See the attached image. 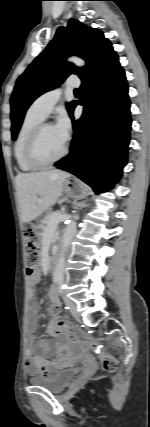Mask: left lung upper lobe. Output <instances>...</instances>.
Listing matches in <instances>:
<instances>
[{
	"mask_svg": "<svg viewBox=\"0 0 150 427\" xmlns=\"http://www.w3.org/2000/svg\"><path fill=\"white\" fill-rule=\"evenodd\" d=\"M113 49L103 33L70 19L67 27H59L54 39L17 79L12 93L11 121L12 139L15 140L22 125L26 110L41 94L56 88L70 74L82 80L93 72L97 64ZM77 55L87 65L79 68L65 59ZM75 101L67 105L70 113Z\"/></svg>",
	"mask_w": 150,
	"mask_h": 427,
	"instance_id": "left-lung-upper-lobe-1",
	"label": "left lung upper lobe"
}]
</instances>
